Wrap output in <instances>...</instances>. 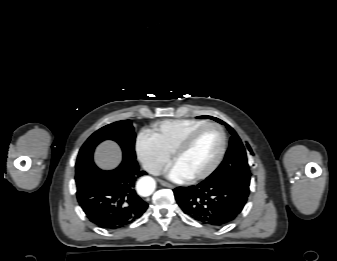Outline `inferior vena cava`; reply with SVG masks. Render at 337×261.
<instances>
[{"instance_id":"602c4592","label":"inferior vena cava","mask_w":337,"mask_h":261,"mask_svg":"<svg viewBox=\"0 0 337 261\" xmlns=\"http://www.w3.org/2000/svg\"><path fill=\"white\" fill-rule=\"evenodd\" d=\"M143 168L145 171L152 175H159L162 171V166L158 164H153V163H145L143 165Z\"/></svg>"}]
</instances>
